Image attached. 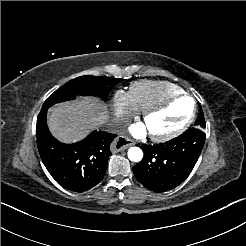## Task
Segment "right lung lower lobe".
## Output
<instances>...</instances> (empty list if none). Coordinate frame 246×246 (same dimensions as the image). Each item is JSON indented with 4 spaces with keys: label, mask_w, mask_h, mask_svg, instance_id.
<instances>
[{
    "label": "right lung lower lobe",
    "mask_w": 246,
    "mask_h": 246,
    "mask_svg": "<svg viewBox=\"0 0 246 246\" xmlns=\"http://www.w3.org/2000/svg\"><path fill=\"white\" fill-rule=\"evenodd\" d=\"M47 109L37 117L36 136L41 159L52 177L64 188L87 191L103 179L111 155L109 144L116 135L93 132L81 142L63 144L49 132Z\"/></svg>",
    "instance_id": "98d812e1"
}]
</instances>
